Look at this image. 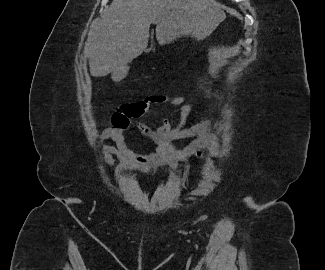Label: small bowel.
<instances>
[{"label":"small bowel","instance_id":"obj_1","mask_svg":"<svg viewBox=\"0 0 325 270\" xmlns=\"http://www.w3.org/2000/svg\"><path fill=\"white\" fill-rule=\"evenodd\" d=\"M154 104H168L181 107V119L173 126L166 117H161L156 128L137 121L138 118L151 112ZM192 105L186 102L182 96L154 95L142 100L127 104L120 103L115 113L113 125L102 130L99 142L106 140L114 142L113 145L102 147L104 162L107 168L112 166L111 158L118 161L117 170L120 174L124 169L131 167L134 163L142 165L147 171L158 165L175 167L181 160L190 156H201L202 148L208 143L207 129L209 119L203 118L191 127H185L186 117L191 111ZM131 126H134L142 136L153 141L157 145L156 153L139 155L127 147L128 139L125 135ZM198 136L190 144L175 148L173 142Z\"/></svg>","mask_w":325,"mask_h":270}]
</instances>
